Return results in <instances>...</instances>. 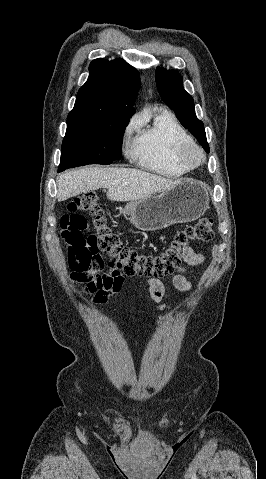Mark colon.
<instances>
[{
  "mask_svg": "<svg viewBox=\"0 0 266 479\" xmlns=\"http://www.w3.org/2000/svg\"><path fill=\"white\" fill-rule=\"evenodd\" d=\"M67 209L60 226L66 241L68 266L72 279L82 285L95 303H103L109 295L120 291L124 276L162 278L172 274L191 244L209 242L215 235L213 220L202 218L177 232L161 253H146L123 244L94 193L75 197ZM86 214L92 216L94 234H85ZM104 268L107 271L100 273Z\"/></svg>",
  "mask_w": 266,
  "mask_h": 479,
  "instance_id": "1",
  "label": "colon"
}]
</instances>
